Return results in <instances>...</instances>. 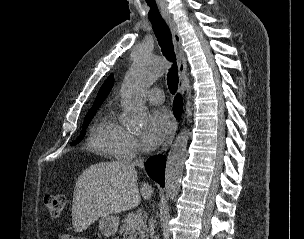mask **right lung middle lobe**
I'll use <instances>...</instances> for the list:
<instances>
[{"label": "right lung middle lobe", "instance_id": "obj_1", "mask_svg": "<svg viewBox=\"0 0 304 239\" xmlns=\"http://www.w3.org/2000/svg\"><path fill=\"white\" fill-rule=\"evenodd\" d=\"M97 109H98V107H93L89 110L88 114L85 116L82 132H81L80 136L77 138V140H75L73 143H71V145H75L83 139V137L85 136L86 128H87L88 124L90 123L91 119L93 118V116L95 115Z\"/></svg>", "mask_w": 304, "mask_h": 239}]
</instances>
